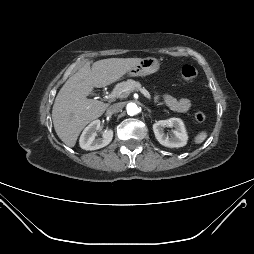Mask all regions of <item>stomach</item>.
Returning <instances> with one entry per match:
<instances>
[{
    "mask_svg": "<svg viewBox=\"0 0 254 254\" xmlns=\"http://www.w3.org/2000/svg\"><path fill=\"white\" fill-rule=\"evenodd\" d=\"M159 67L160 63L156 58L147 57L141 59V61L127 73L130 77H143L157 72Z\"/></svg>",
    "mask_w": 254,
    "mask_h": 254,
    "instance_id": "1",
    "label": "stomach"
}]
</instances>
